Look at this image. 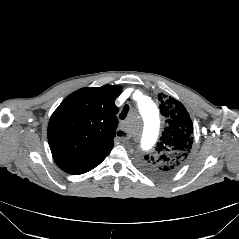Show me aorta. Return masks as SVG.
<instances>
[{
	"mask_svg": "<svg viewBox=\"0 0 239 239\" xmlns=\"http://www.w3.org/2000/svg\"><path fill=\"white\" fill-rule=\"evenodd\" d=\"M137 108L142 112L143 119L146 122V131L140 138L139 147L141 151L148 153L152 151L156 144L159 130V113L155 103L146 96H143L137 103Z\"/></svg>",
	"mask_w": 239,
	"mask_h": 239,
	"instance_id": "obj_1",
	"label": "aorta"
}]
</instances>
